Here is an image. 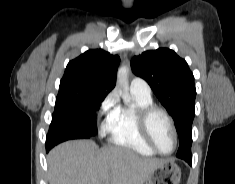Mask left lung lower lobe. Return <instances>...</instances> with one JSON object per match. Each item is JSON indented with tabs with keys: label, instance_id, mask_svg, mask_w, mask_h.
Masks as SVG:
<instances>
[{
	"label": "left lung lower lobe",
	"instance_id": "1",
	"mask_svg": "<svg viewBox=\"0 0 235 184\" xmlns=\"http://www.w3.org/2000/svg\"><path fill=\"white\" fill-rule=\"evenodd\" d=\"M187 163H189L190 165H192V159H187L185 160Z\"/></svg>",
	"mask_w": 235,
	"mask_h": 184
}]
</instances>
